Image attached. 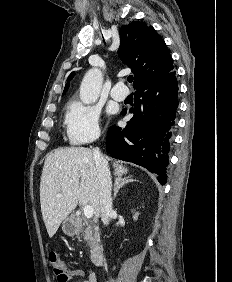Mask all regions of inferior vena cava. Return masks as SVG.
Returning <instances> with one entry per match:
<instances>
[{"label":"inferior vena cava","mask_w":232,"mask_h":282,"mask_svg":"<svg viewBox=\"0 0 232 282\" xmlns=\"http://www.w3.org/2000/svg\"><path fill=\"white\" fill-rule=\"evenodd\" d=\"M93 158L97 171V177L100 186V213L101 220L104 225H107L112 214V197H111V174L108 168V162L102 156L99 148H94Z\"/></svg>","instance_id":"inferior-vena-cava-1"}]
</instances>
